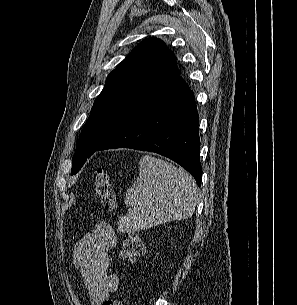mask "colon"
<instances>
[{
    "mask_svg": "<svg viewBox=\"0 0 297 305\" xmlns=\"http://www.w3.org/2000/svg\"><path fill=\"white\" fill-rule=\"evenodd\" d=\"M95 191L100 204L108 209L114 210L116 207V198L113 192V186L110 175L104 168H99L95 174ZM144 252V243L141 237L134 233H129L124 237L120 255L125 261L135 262ZM103 305H125L124 301L117 298H108Z\"/></svg>",
    "mask_w": 297,
    "mask_h": 305,
    "instance_id": "obj_1",
    "label": "colon"
}]
</instances>
